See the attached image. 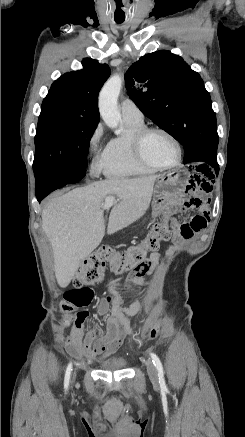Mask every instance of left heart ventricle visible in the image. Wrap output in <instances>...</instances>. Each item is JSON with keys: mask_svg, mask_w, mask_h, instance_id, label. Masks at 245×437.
<instances>
[{"mask_svg": "<svg viewBox=\"0 0 245 437\" xmlns=\"http://www.w3.org/2000/svg\"><path fill=\"white\" fill-rule=\"evenodd\" d=\"M143 153L145 157L160 165H171L177 159V150L172 141L165 135L152 132L143 141Z\"/></svg>", "mask_w": 245, "mask_h": 437, "instance_id": "1", "label": "left heart ventricle"}]
</instances>
